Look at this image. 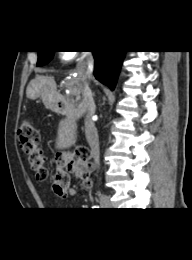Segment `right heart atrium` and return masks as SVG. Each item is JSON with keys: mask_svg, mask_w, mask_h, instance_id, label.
Masks as SVG:
<instances>
[{"mask_svg": "<svg viewBox=\"0 0 192 260\" xmlns=\"http://www.w3.org/2000/svg\"><path fill=\"white\" fill-rule=\"evenodd\" d=\"M74 56H75V53H74V52H68V51H66V52H62V53L60 54V59H61L62 61H69V60L73 59Z\"/></svg>", "mask_w": 192, "mask_h": 260, "instance_id": "d8ad5b80", "label": "right heart atrium"}]
</instances>
